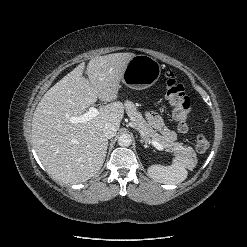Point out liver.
Listing matches in <instances>:
<instances>
[{"label": "liver", "instance_id": "obj_1", "mask_svg": "<svg viewBox=\"0 0 247 247\" xmlns=\"http://www.w3.org/2000/svg\"><path fill=\"white\" fill-rule=\"evenodd\" d=\"M134 53H113L92 58L88 79L81 63L51 87L38 103L32 119V142L47 170L56 180L81 183L101 169L108 140L103 128L111 123L118 129L124 105L117 101L120 82ZM98 99L110 102L87 123H71Z\"/></svg>", "mask_w": 247, "mask_h": 247}]
</instances>
